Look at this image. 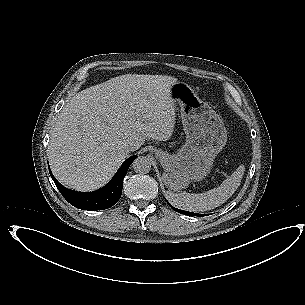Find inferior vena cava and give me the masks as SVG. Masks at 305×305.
Listing matches in <instances>:
<instances>
[{"label": "inferior vena cava", "mask_w": 305, "mask_h": 305, "mask_svg": "<svg viewBox=\"0 0 305 305\" xmlns=\"http://www.w3.org/2000/svg\"><path fill=\"white\" fill-rule=\"evenodd\" d=\"M124 149H125L126 152L129 153V152L137 150V147L135 145H133V144H126L124 146Z\"/></svg>", "instance_id": "inferior-vena-cava-1"}]
</instances>
